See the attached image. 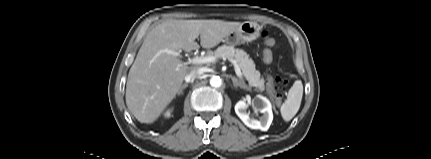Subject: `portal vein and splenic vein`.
Segmentation results:
<instances>
[{
	"label": "portal vein and splenic vein",
	"instance_id": "1",
	"mask_svg": "<svg viewBox=\"0 0 431 159\" xmlns=\"http://www.w3.org/2000/svg\"><path fill=\"white\" fill-rule=\"evenodd\" d=\"M165 52L167 54H170L173 56L182 57L179 51L165 50ZM216 59H217L216 56H203V57L195 56L191 59H188V63L189 64H205V63L215 62ZM229 61L233 64L236 75L239 78H242V72H241V69H240L239 65L237 64V62L234 59H229Z\"/></svg>",
	"mask_w": 431,
	"mask_h": 159
}]
</instances>
